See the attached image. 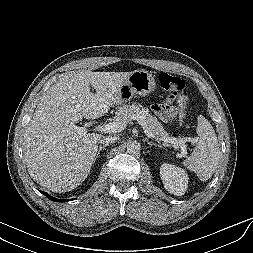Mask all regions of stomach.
Segmentation results:
<instances>
[{"instance_id": "0dacf381", "label": "stomach", "mask_w": 253, "mask_h": 253, "mask_svg": "<svg viewBox=\"0 0 253 253\" xmlns=\"http://www.w3.org/2000/svg\"><path fill=\"white\" fill-rule=\"evenodd\" d=\"M156 83L151 73L141 70L133 71L120 87L114 105L130 101L134 95L146 96L155 90Z\"/></svg>"}]
</instances>
